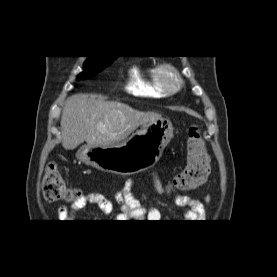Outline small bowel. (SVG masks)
<instances>
[{"instance_id": "c3829d8e", "label": "small bowel", "mask_w": 277, "mask_h": 277, "mask_svg": "<svg viewBox=\"0 0 277 277\" xmlns=\"http://www.w3.org/2000/svg\"><path fill=\"white\" fill-rule=\"evenodd\" d=\"M155 188L159 193H163L162 183L157 174L154 175ZM133 181L128 180L122 191L115 194V201L120 206L121 212L116 216L118 220H149L158 222L161 219V213L158 209L141 206L132 194ZM176 205L185 207L183 218L189 222H198L206 214V203L198 199L190 198L179 193L174 195ZM208 202V198L206 199ZM88 204L95 205L105 215H111L114 212L112 202L105 196L98 193H89L81 195L72 206H61L57 211L59 222H71L77 214Z\"/></svg>"}]
</instances>
